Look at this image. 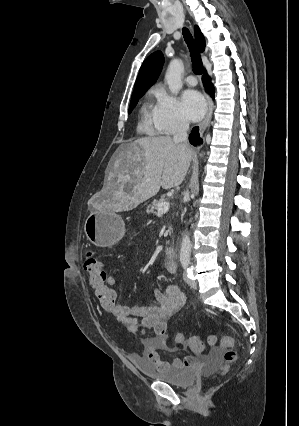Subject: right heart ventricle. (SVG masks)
Masks as SVG:
<instances>
[{"label": "right heart ventricle", "instance_id": "e07e8e85", "mask_svg": "<svg viewBox=\"0 0 299 426\" xmlns=\"http://www.w3.org/2000/svg\"><path fill=\"white\" fill-rule=\"evenodd\" d=\"M139 129L148 134H156L159 132L154 122V109L148 103L141 108V119Z\"/></svg>", "mask_w": 299, "mask_h": 426}]
</instances>
